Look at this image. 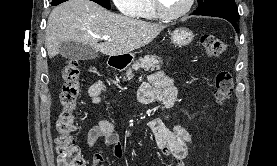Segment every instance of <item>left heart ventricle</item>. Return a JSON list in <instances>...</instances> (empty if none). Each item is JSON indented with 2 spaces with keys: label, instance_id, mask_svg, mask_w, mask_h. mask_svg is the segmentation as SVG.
Here are the masks:
<instances>
[{
  "label": "left heart ventricle",
  "instance_id": "left-heart-ventricle-1",
  "mask_svg": "<svg viewBox=\"0 0 277 166\" xmlns=\"http://www.w3.org/2000/svg\"><path fill=\"white\" fill-rule=\"evenodd\" d=\"M164 10L173 14L180 11L186 4L187 0H160Z\"/></svg>",
  "mask_w": 277,
  "mask_h": 166
}]
</instances>
